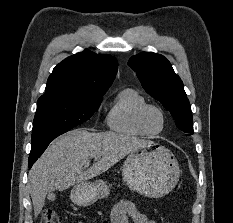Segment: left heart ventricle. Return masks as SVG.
<instances>
[{
  "label": "left heart ventricle",
  "instance_id": "1",
  "mask_svg": "<svg viewBox=\"0 0 233 223\" xmlns=\"http://www.w3.org/2000/svg\"><path fill=\"white\" fill-rule=\"evenodd\" d=\"M146 125L150 132L159 133L164 127V119L162 114L156 109H150L145 117Z\"/></svg>",
  "mask_w": 233,
  "mask_h": 223
}]
</instances>
